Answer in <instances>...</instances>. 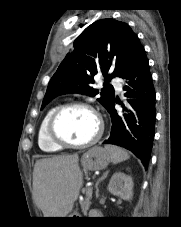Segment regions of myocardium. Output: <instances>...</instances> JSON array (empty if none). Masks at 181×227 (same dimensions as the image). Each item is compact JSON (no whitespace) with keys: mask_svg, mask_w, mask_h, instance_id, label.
<instances>
[{"mask_svg":"<svg viewBox=\"0 0 181 227\" xmlns=\"http://www.w3.org/2000/svg\"><path fill=\"white\" fill-rule=\"evenodd\" d=\"M75 107L84 108L90 111L94 115L97 121L96 134L90 140L83 143H71L65 140L64 138H62L56 131V122L59 116L61 115V113L66 109L75 108ZM103 131H104V123L101 115L92 105L82 101H72L58 106L52 113L47 125L48 137L53 143H55L56 145L62 148L64 147V148L84 149V148L91 147L100 140V138L103 135Z\"/></svg>","mask_w":181,"mask_h":227,"instance_id":"f54148a6","label":"myocardium"}]
</instances>
